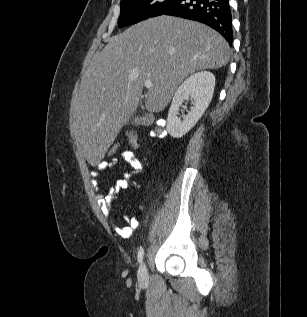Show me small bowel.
<instances>
[{
    "label": "small bowel",
    "instance_id": "c3829d8e",
    "mask_svg": "<svg viewBox=\"0 0 307 317\" xmlns=\"http://www.w3.org/2000/svg\"><path fill=\"white\" fill-rule=\"evenodd\" d=\"M120 159L128 164L130 172L123 173L122 179L117 180L115 184L109 188L106 194L98 195V203L100 205L101 211L107 218H111L112 216V202L117 199V196L121 190L129 187V178L131 175L137 174L142 170V163L136 154L130 150H125L121 153L120 158L116 157L98 163L96 166L97 170L94 172V177H99L100 172L110 171L115 168L120 162ZM125 221L127 224L124 226L114 223L113 229L122 238H130L134 230L138 227L139 222L135 217L130 216H126Z\"/></svg>",
    "mask_w": 307,
    "mask_h": 317
}]
</instances>
